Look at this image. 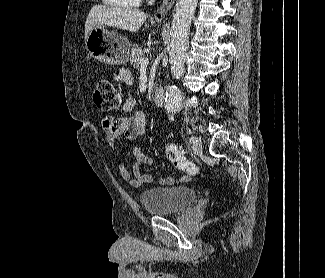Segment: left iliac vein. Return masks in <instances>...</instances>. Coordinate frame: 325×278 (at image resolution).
Wrapping results in <instances>:
<instances>
[{
    "label": "left iliac vein",
    "mask_w": 325,
    "mask_h": 278,
    "mask_svg": "<svg viewBox=\"0 0 325 278\" xmlns=\"http://www.w3.org/2000/svg\"><path fill=\"white\" fill-rule=\"evenodd\" d=\"M197 141L193 144V152L197 155H201L203 153V149H202V143L201 140L196 138Z\"/></svg>",
    "instance_id": "obj_1"
}]
</instances>
